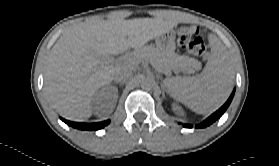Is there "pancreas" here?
<instances>
[{"label": "pancreas", "mask_w": 279, "mask_h": 166, "mask_svg": "<svg viewBox=\"0 0 279 166\" xmlns=\"http://www.w3.org/2000/svg\"><path fill=\"white\" fill-rule=\"evenodd\" d=\"M129 66H137L144 60L150 61L158 70H170L172 68L181 67L184 70L191 71L199 68L200 64L197 60L187 56H179L175 53L163 52L152 46H143L135 50L128 56Z\"/></svg>", "instance_id": "pancreas-1"}]
</instances>
